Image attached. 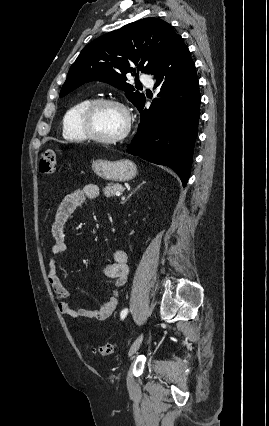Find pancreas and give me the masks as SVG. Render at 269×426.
Listing matches in <instances>:
<instances>
[{
  "instance_id": "cf45deb5",
  "label": "pancreas",
  "mask_w": 269,
  "mask_h": 426,
  "mask_svg": "<svg viewBox=\"0 0 269 426\" xmlns=\"http://www.w3.org/2000/svg\"><path fill=\"white\" fill-rule=\"evenodd\" d=\"M122 190H123V187L121 184L108 183L103 189V192L105 197L110 198L112 196H115V193L117 191H122Z\"/></svg>"
}]
</instances>
